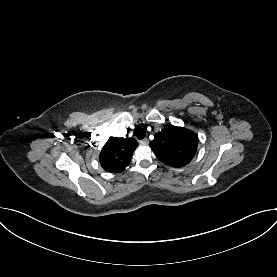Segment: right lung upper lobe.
I'll use <instances>...</instances> for the list:
<instances>
[{
  "instance_id": "cb5924a9",
  "label": "right lung upper lobe",
  "mask_w": 277,
  "mask_h": 277,
  "mask_svg": "<svg viewBox=\"0 0 277 277\" xmlns=\"http://www.w3.org/2000/svg\"><path fill=\"white\" fill-rule=\"evenodd\" d=\"M137 146L134 138L110 137L99 155L101 166L108 172H122Z\"/></svg>"
}]
</instances>
